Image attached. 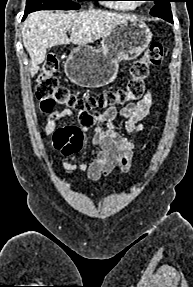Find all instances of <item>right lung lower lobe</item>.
<instances>
[{
  "instance_id": "right-lung-lower-lobe-1",
  "label": "right lung lower lobe",
  "mask_w": 193,
  "mask_h": 287,
  "mask_svg": "<svg viewBox=\"0 0 193 287\" xmlns=\"http://www.w3.org/2000/svg\"><path fill=\"white\" fill-rule=\"evenodd\" d=\"M27 14H28V13H27V12H25L23 19H25V17L27 16Z\"/></svg>"
}]
</instances>
